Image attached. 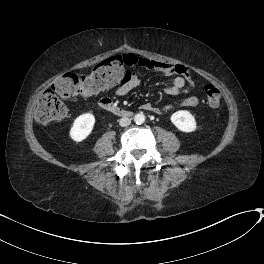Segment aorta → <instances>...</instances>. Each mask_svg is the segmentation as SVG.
I'll return each mask as SVG.
<instances>
[{
	"mask_svg": "<svg viewBox=\"0 0 264 264\" xmlns=\"http://www.w3.org/2000/svg\"><path fill=\"white\" fill-rule=\"evenodd\" d=\"M134 121L136 124L141 125L145 121V116L142 113H138L134 116Z\"/></svg>",
	"mask_w": 264,
	"mask_h": 264,
	"instance_id": "aorta-1",
	"label": "aorta"
}]
</instances>
